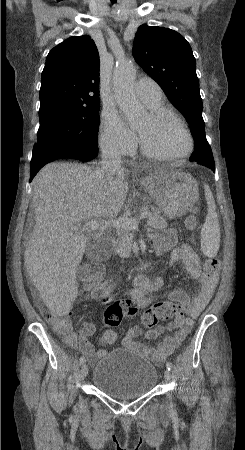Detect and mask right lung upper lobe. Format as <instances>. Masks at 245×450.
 Masks as SVG:
<instances>
[{
  "mask_svg": "<svg viewBox=\"0 0 245 450\" xmlns=\"http://www.w3.org/2000/svg\"><path fill=\"white\" fill-rule=\"evenodd\" d=\"M53 104H100L99 54L89 36L70 37L49 52L41 76L40 109Z\"/></svg>",
  "mask_w": 245,
  "mask_h": 450,
  "instance_id": "right-lung-upper-lobe-1",
  "label": "right lung upper lobe"
}]
</instances>
